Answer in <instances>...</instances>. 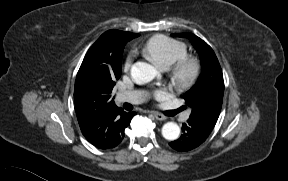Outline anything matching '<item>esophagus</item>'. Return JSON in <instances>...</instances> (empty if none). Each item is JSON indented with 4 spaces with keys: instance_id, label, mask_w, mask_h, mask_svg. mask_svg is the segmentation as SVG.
Instances as JSON below:
<instances>
[{
    "instance_id": "esophagus-1",
    "label": "esophagus",
    "mask_w": 288,
    "mask_h": 181,
    "mask_svg": "<svg viewBox=\"0 0 288 181\" xmlns=\"http://www.w3.org/2000/svg\"><path fill=\"white\" fill-rule=\"evenodd\" d=\"M153 116L157 119V120H165L166 119V116H164L163 114L161 113H158V112H152Z\"/></svg>"
}]
</instances>
